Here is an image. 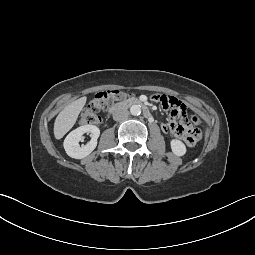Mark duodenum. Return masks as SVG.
<instances>
[{
	"label": "duodenum",
	"mask_w": 255,
	"mask_h": 255,
	"mask_svg": "<svg viewBox=\"0 0 255 255\" xmlns=\"http://www.w3.org/2000/svg\"><path fill=\"white\" fill-rule=\"evenodd\" d=\"M131 106H140V107H142L145 117H147L148 119L152 118L151 112H150L149 108L147 107V105L142 100H140L136 97H128V98H126L122 101L114 103L108 109L107 115L111 116L114 113H116L117 111L128 108V107H131Z\"/></svg>",
	"instance_id": "obj_1"
}]
</instances>
